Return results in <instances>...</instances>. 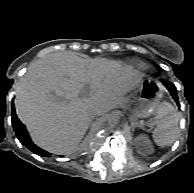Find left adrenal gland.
Masks as SVG:
<instances>
[{"instance_id":"obj_1","label":"left adrenal gland","mask_w":194,"mask_h":193,"mask_svg":"<svg viewBox=\"0 0 194 193\" xmlns=\"http://www.w3.org/2000/svg\"><path fill=\"white\" fill-rule=\"evenodd\" d=\"M131 124L133 127L136 125V123L133 120H131Z\"/></svg>"}]
</instances>
